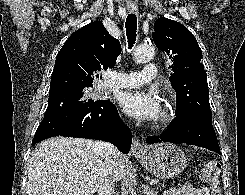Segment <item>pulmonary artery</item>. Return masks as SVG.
<instances>
[{
    "instance_id": "pulmonary-artery-1",
    "label": "pulmonary artery",
    "mask_w": 245,
    "mask_h": 195,
    "mask_svg": "<svg viewBox=\"0 0 245 195\" xmlns=\"http://www.w3.org/2000/svg\"><path fill=\"white\" fill-rule=\"evenodd\" d=\"M156 77V67L154 64H148L145 67V72H113L109 79L104 82L103 86L114 88H135L146 82L153 80Z\"/></svg>"
}]
</instances>
